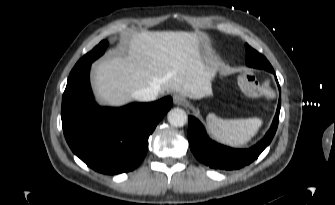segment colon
Returning <instances> with one entry per match:
<instances>
[{
	"instance_id": "5ec220e1",
	"label": "colon",
	"mask_w": 335,
	"mask_h": 205,
	"mask_svg": "<svg viewBox=\"0 0 335 205\" xmlns=\"http://www.w3.org/2000/svg\"><path fill=\"white\" fill-rule=\"evenodd\" d=\"M238 84L242 93L250 98H269L272 95L270 84L267 81L259 82L249 71L239 76Z\"/></svg>"
}]
</instances>
